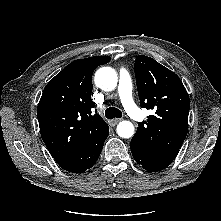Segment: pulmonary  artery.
Wrapping results in <instances>:
<instances>
[{
    "label": "pulmonary artery",
    "instance_id": "obj_1",
    "mask_svg": "<svg viewBox=\"0 0 221 221\" xmlns=\"http://www.w3.org/2000/svg\"><path fill=\"white\" fill-rule=\"evenodd\" d=\"M118 93L127 114L135 121H142L144 113L135 104L132 95V82L126 70L120 71Z\"/></svg>",
    "mask_w": 221,
    "mask_h": 221
}]
</instances>
